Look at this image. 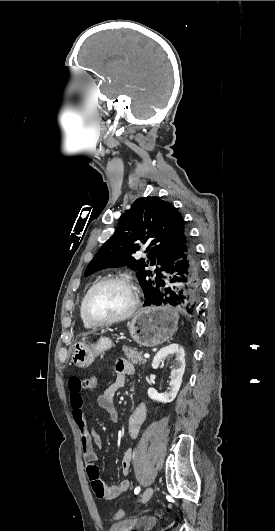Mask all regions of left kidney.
Instances as JSON below:
<instances>
[{"mask_svg":"<svg viewBox=\"0 0 275 531\" xmlns=\"http://www.w3.org/2000/svg\"><path fill=\"white\" fill-rule=\"evenodd\" d=\"M167 355H176L177 357V367L171 371V381L169 383L170 391H168V393H161V395H159V393H157L155 389H152V387L148 389V397H150L152 401H159V403H172V401H174L181 387L185 371L184 349H182L180 345H176V343H173V345H168V347H163V349H160V351L156 353L152 363L153 369H158L162 359L167 357Z\"/></svg>","mask_w":275,"mask_h":531,"instance_id":"1","label":"left kidney"}]
</instances>
